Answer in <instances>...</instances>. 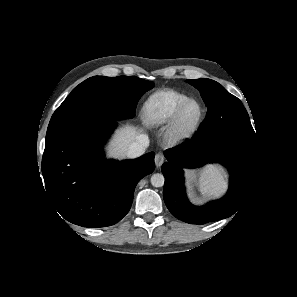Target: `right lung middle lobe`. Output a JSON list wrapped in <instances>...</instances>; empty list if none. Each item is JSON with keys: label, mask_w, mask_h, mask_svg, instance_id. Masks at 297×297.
<instances>
[{"label": "right lung middle lobe", "mask_w": 297, "mask_h": 297, "mask_svg": "<svg viewBox=\"0 0 297 297\" xmlns=\"http://www.w3.org/2000/svg\"><path fill=\"white\" fill-rule=\"evenodd\" d=\"M153 86L136 76L88 78L54 112L45 146L92 124L134 117L140 97Z\"/></svg>", "instance_id": "1"}]
</instances>
